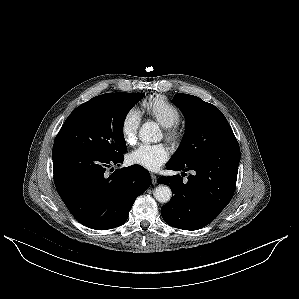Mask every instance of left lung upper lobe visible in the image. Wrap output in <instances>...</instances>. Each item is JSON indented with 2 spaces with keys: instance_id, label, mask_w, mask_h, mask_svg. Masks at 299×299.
I'll use <instances>...</instances> for the list:
<instances>
[{
  "instance_id": "obj_1",
  "label": "left lung upper lobe",
  "mask_w": 299,
  "mask_h": 299,
  "mask_svg": "<svg viewBox=\"0 0 299 299\" xmlns=\"http://www.w3.org/2000/svg\"><path fill=\"white\" fill-rule=\"evenodd\" d=\"M172 102L185 116L186 130L169 162L186 163L237 142L225 116L214 105L183 93L176 94Z\"/></svg>"
}]
</instances>
